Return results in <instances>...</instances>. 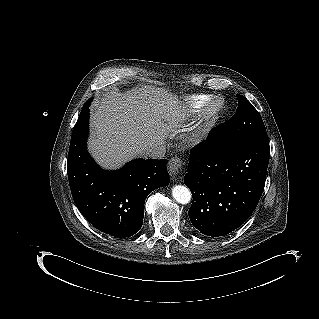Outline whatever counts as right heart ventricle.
Masks as SVG:
<instances>
[{
    "label": "right heart ventricle",
    "mask_w": 319,
    "mask_h": 319,
    "mask_svg": "<svg viewBox=\"0 0 319 319\" xmlns=\"http://www.w3.org/2000/svg\"><path fill=\"white\" fill-rule=\"evenodd\" d=\"M210 99V95L204 93H193L185 96V106L190 113L198 112Z\"/></svg>",
    "instance_id": "obj_1"
}]
</instances>
